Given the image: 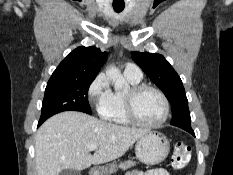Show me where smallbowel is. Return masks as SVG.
Instances as JSON below:
<instances>
[{
    "label": "small bowel",
    "mask_w": 233,
    "mask_h": 175,
    "mask_svg": "<svg viewBox=\"0 0 233 175\" xmlns=\"http://www.w3.org/2000/svg\"><path fill=\"white\" fill-rule=\"evenodd\" d=\"M126 175H169V173L164 168H156L147 171L133 170L128 172Z\"/></svg>",
    "instance_id": "c3829d8e"
}]
</instances>
